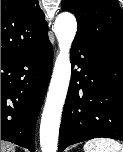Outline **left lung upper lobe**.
<instances>
[{
    "label": "left lung upper lobe",
    "instance_id": "left-lung-upper-lobe-1",
    "mask_svg": "<svg viewBox=\"0 0 123 152\" xmlns=\"http://www.w3.org/2000/svg\"><path fill=\"white\" fill-rule=\"evenodd\" d=\"M78 22L75 38L123 56V11L117 0H63Z\"/></svg>",
    "mask_w": 123,
    "mask_h": 152
}]
</instances>
